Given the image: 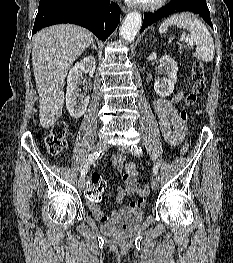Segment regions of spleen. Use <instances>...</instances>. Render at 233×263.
Masks as SVG:
<instances>
[{
	"label": "spleen",
	"instance_id": "3e777b00",
	"mask_svg": "<svg viewBox=\"0 0 233 263\" xmlns=\"http://www.w3.org/2000/svg\"><path fill=\"white\" fill-rule=\"evenodd\" d=\"M172 25L190 32L191 40L196 43L194 57L204 62H210L214 59L215 49L212 36L200 19L188 12L174 14L160 25V34H165L168 27Z\"/></svg>",
	"mask_w": 233,
	"mask_h": 263
}]
</instances>
